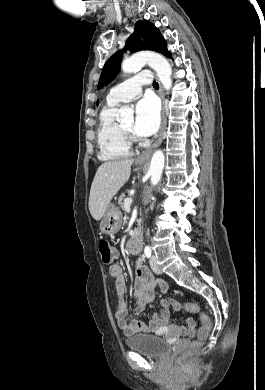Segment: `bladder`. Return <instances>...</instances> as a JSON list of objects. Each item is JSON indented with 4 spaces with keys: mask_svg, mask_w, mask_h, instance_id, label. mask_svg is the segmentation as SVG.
<instances>
[{
    "mask_svg": "<svg viewBox=\"0 0 265 390\" xmlns=\"http://www.w3.org/2000/svg\"><path fill=\"white\" fill-rule=\"evenodd\" d=\"M129 349L149 358H162L171 346L161 337L148 334H138L126 340Z\"/></svg>",
    "mask_w": 265,
    "mask_h": 390,
    "instance_id": "1",
    "label": "bladder"
}]
</instances>
